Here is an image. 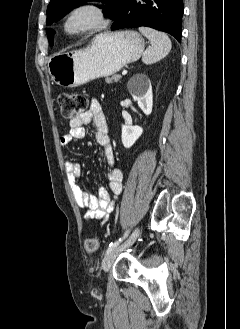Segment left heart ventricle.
<instances>
[{
  "mask_svg": "<svg viewBox=\"0 0 240 329\" xmlns=\"http://www.w3.org/2000/svg\"><path fill=\"white\" fill-rule=\"evenodd\" d=\"M94 20V15L90 11H81L79 12L71 21V28H78L84 25H87Z\"/></svg>",
  "mask_w": 240,
  "mask_h": 329,
  "instance_id": "obj_1",
  "label": "left heart ventricle"
}]
</instances>
